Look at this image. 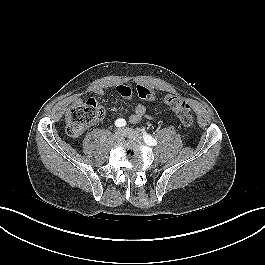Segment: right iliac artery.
<instances>
[{
  "mask_svg": "<svg viewBox=\"0 0 265 265\" xmlns=\"http://www.w3.org/2000/svg\"><path fill=\"white\" fill-rule=\"evenodd\" d=\"M115 125L119 128L124 127L126 125V121L124 119L119 118L115 121Z\"/></svg>",
  "mask_w": 265,
  "mask_h": 265,
  "instance_id": "82829eb1",
  "label": "right iliac artery"
}]
</instances>
